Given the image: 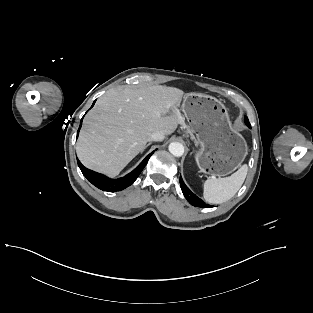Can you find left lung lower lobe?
<instances>
[{
	"instance_id": "1",
	"label": "left lung lower lobe",
	"mask_w": 313,
	"mask_h": 313,
	"mask_svg": "<svg viewBox=\"0 0 313 313\" xmlns=\"http://www.w3.org/2000/svg\"><path fill=\"white\" fill-rule=\"evenodd\" d=\"M180 186L185 198L191 205L196 207H212L209 206L208 204H205V202H203L199 197L192 193L191 190L185 185L181 176H180Z\"/></svg>"
}]
</instances>
